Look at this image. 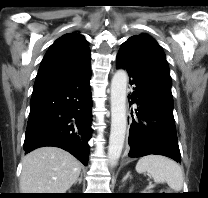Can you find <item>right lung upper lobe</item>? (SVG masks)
<instances>
[{
    "instance_id": "right-lung-upper-lobe-1",
    "label": "right lung upper lobe",
    "mask_w": 208,
    "mask_h": 198,
    "mask_svg": "<svg viewBox=\"0 0 208 198\" xmlns=\"http://www.w3.org/2000/svg\"><path fill=\"white\" fill-rule=\"evenodd\" d=\"M88 42L77 32L57 39L40 65L33 92L63 85L90 68Z\"/></svg>"
}]
</instances>
